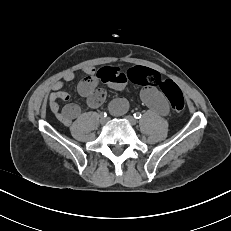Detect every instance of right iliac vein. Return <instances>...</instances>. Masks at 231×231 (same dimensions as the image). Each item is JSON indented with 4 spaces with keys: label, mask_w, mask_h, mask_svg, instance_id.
Returning a JSON list of instances; mask_svg holds the SVG:
<instances>
[{
    "label": "right iliac vein",
    "mask_w": 231,
    "mask_h": 231,
    "mask_svg": "<svg viewBox=\"0 0 231 231\" xmlns=\"http://www.w3.org/2000/svg\"><path fill=\"white\" fill-rule=\"evenodd\" d=\"M107 122H108V119H107V118L101 117L100 123H101L102 125H105Z\"/></svg>",
    "instance_id": "1"
}]
</instances>
